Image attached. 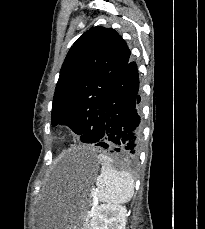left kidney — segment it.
<instances>
[{
	"label": "left kidney",
	"instance_id": "5707ae66",
	"mask_svg": "<svg viewBox=\"0 0 205 229\" xmlns=\"http://www.w3.org/2000/svg\"><path fill=\"white\" fill-rule=\"evenodd\" d=\"M127 210L120 204H101L96 207L90 229H125Z\"/></svg>",
	"mask_w": 205,
	"mask_h": 229
}]
</instances>
